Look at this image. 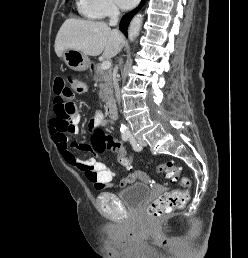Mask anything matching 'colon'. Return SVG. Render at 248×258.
Here are the masks:
<instances>
[{
    "label": "colon",
    "instance_id": "5ec220e1",
    "mask_svg": "<svg viewBox=\"0 0 248 258\" xmlns=\"http://www.w3.org/2000/svg\"><path fill=\"white\" fill-rule=\"evenodd\" d=\"M71 91L74 94L82 95L86 92V83L79 78H73L70 81ZM75 112V107L71 103L61 102L60 108L57 110L56 116L52 123L61 130L69 131L72 128L71 115ZM96 150L102 152L106 149H115L118 153L119 162L124 166V170H131L132 159L127 156V145H122L121 141H114L109 138L102 130H97L94 134ZM158 171L163 173L171 182L175 183L179 179L180 167L173 161L160 164ZM88 177H92V172H87ZM183 187L190 186V179L184 177L181 179ZM189 197L187 190H176L171 193H164L156 200L152 201L147 212L151 218L164 216L174 210L182 209Z\"/></svg>",
    "mask_w": 248,
    "mask_h": 258
}]
</instances>
